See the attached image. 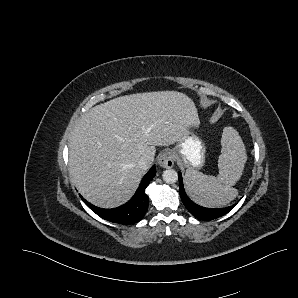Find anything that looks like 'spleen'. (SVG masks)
<instances>
[{
    "label": "spleen",
    "mask_w": 298,
    "mask_h": 298,
    "mask_svg": "<svg viewBox=\"0 0 298 298\" xmlns=\"http://www.w3.org/2000/svg\"><path fill=\"white\" fill-rule=\"evenodd\" d=\"M221 146L218 176L206 175L193 168L185 173L188 194L202 206H225L238 195L233 186L241 178L247 161L245 145L238 131L227 126L223 128Z\"/></svg>",
    "instance_id": "obj_1"
}]
</instances>
